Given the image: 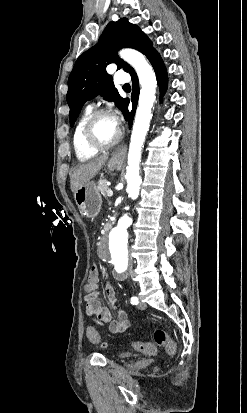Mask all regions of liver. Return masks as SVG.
Returning a JSON list of instances; mask_svg holds the SVG:
<instances>
[{
  "mask_svg": "<svg viewBox=\"0 0 247 413\" xmlns=\"http://www.w3.org/2000/svg\"><path fill=\"white\" fill-rule=\"evenodd\" d=\"M109 152H105V154H101V156H97V158H92V160H88V162H83V164H79L74 168L72 174H70V184L72 192H76L80 186L86 184V182H90L91 178L99 172L101 166L105 164L108 158Z\"/></svg>",
  "mask_w": 247,
  "mask_h": 413,
  "instance_id": "6515ba94",
  "label": "liver"
}]
</instances>
